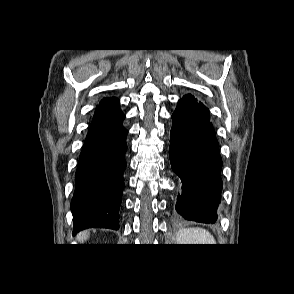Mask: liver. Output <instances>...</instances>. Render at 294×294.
I'll return each mask as SVG.
<instances>
[{"label": "liver", "mask_w": 294, "mask_h": 294, "mask_svg": "<svg viewBox=\"0 0 294 294\" xmlns=\"http://www.w3.org/2000/svg\"><path fill=\"white\" fill-rule=\"evenodd\" d=\"M89 234H90L89 231H82L76 236V239L79 242H84L89 238Z\"/></svg>", "instance_id": "6515ba94"}]
</instances>
